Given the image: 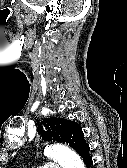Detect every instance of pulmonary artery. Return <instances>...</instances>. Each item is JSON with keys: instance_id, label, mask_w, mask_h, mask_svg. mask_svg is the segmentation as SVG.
I'll return each mask as SVG.
<instances>
[{"instance_id": "obj_1", "label": "pulmonary artery", "mask_w": 127, "mask_h": 168, "mask_svg": "<svg viewBox=\"0 0 127 168\" xmlns=\"http://www.w3.org/2000/svg\"><path fill=\"white\" fill-rule=\"evenodd\" d=\"M39 168H61V165L58 163H48L43 166H40Z\"/></svg>"}]
</instances>
